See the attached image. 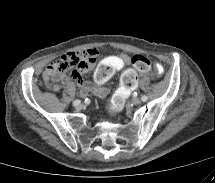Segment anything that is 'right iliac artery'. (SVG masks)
Here are the masks:
<instances>
[{"mask_svg":"<svg viewBox=\"0 0 215 183\" xmlns=\"http://www.w3.org/2000/svg\"><path fill=\"white\" fill-rule=\"evenodd\" d=\"M79 104H80V100H75V101L73 102V105H74V106L79 105Z\"/></svg>","mask_w":215,"mask_h":183,"instance_id":"82829eb1","label":"right iliac artery"}]
</instances>
